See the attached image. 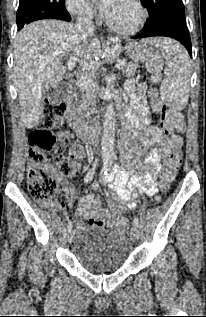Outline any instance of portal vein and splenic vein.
<instances>
[{"instance_id":"obj_1","label":"portal vein and splenic vein","mask_w":206,"mask_h":317,"mask_svg":"<svg viewBox=\"0 0 206 317\" xmlns=\"http://www.w3.org/2000/svg\"><path fill=\"white\" fill-rule=\"evenodd\" d=\"M77 65V59L74 56H71L68 60V68L70 70H73ZM124 66V62H119L116 64V68H122ZM77 85L82 89L85 90L86 92H94L96 85L93 81L84 79L82 77H79L77 74Z\"/></svg>"}]
</instances>
